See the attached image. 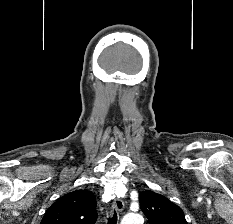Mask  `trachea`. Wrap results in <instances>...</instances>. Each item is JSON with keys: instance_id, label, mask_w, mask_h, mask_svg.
Here are the masks:
<instances>
[{"instance_id": "trachea-1", "label": "trachea", "mask_w": 233, "mask_h": 224, "mask_svg": "<svg viewBox=\"0 0 233 224\" xmlns=\"http://www.w3.org/2000/svg\"><path fill=\"white\" fill-rule=\"evenodd\" d=\"M117 223V213L114 211L112 217L108 219V224H116Z\"/></svg>"}]
</instances>
